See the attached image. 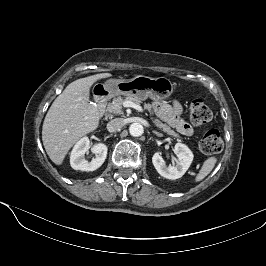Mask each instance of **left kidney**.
I'll use <instances>...</instances> for the list:
<instances>
[{
    "mask_svg": "<svg viewBox=\"0 0 266 266\" xmlns=\"http://www.w3.org/2000/svg\"><path fill=\"white\" fill-rule=\"evenodd\" d=\"M177 156L175 166H166L161 152H156L152 157V163L157 172L164 178L175 180L182 177L193 161L192 151L184 144L177 143L174 147Z\"/></svg>",
    "mask_w": 266,
    "mask_h": 266,
    "instance_id": "left-kidney-1",
    "label": "left kidney"
}]
</instances>
